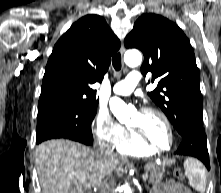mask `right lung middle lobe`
Segmentation results:
<instances>
[{
  "label": "right lung middle lobe",
  "instance_id": "1",
  "mask_svg": "<svg viewBox=\"0 0 221 193\" xmlns=\"http://www.w3.org/2000/svg\"><path fill=\"white\" fill-rule=\"evenodd\" d=\"M96 112L97 105L59 104L39 108L36 143L52 138H67L88 144L87 140L93 138L91 122Z\"/></svg>",
  "mask_w": 221,
  "mask_h": 193
}]
</instances>
